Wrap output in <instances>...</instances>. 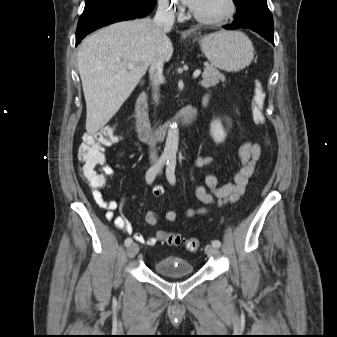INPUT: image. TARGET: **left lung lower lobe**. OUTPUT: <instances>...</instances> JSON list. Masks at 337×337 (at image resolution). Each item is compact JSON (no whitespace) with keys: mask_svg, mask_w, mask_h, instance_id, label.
I'll return each instance as SVG.
<instances>
[{"mask_svg":"<svg viewBox=\"0 0 337 337\" xmlns=\"http://www.w3.org/2000/svg\"><path fill=\"white\" fill-rule=\"evenodd\" d=\"M224 28L228 30H233L235 28H248L260 34L269 42L274 43L273 21H267L261 17L246 16L235 19L233 24L225 25Z\"/></svg>","mask_w":337,"mask_h":337,"instance_id":"left-lung-lower-lobe-1","label":"left lung lower lobe"}]
</instances>
